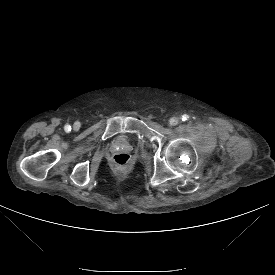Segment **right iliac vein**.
Returning <instances> with one entry per match:
<instances>
[{
	"mask_svg": "<svg viewBox=\"0 0 275 275\" xmlns=\"http://www.w3.org/2000/svg\"><path fill=\"white\" fill-rule=\"evenodd\" d=\"M79 127V124L78 123H75L74 124V129H77Z\"/></svg>",
	"mask_w": 275,
	"mask_h": 275,
	"instance_id": "right-iliac-vein-1",
	"label": "right iliac vein"
}]
</instances>
